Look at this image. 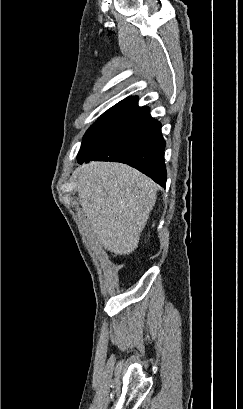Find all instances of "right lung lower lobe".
Wrapping results in <instances>:
<instances>
[{
  "mask_svg": "<svg viewBox=\"0 0 243 409\" xmlns=\"http://www.w3.org/2000/svg\"><path fill=\"white\" fill-rule=\"evenodd\" d=\"M165 145L161 123L150 116L148 107L138 106L137 97H132L123 101L117 111L82 142L77 164L125 163L165 187Z\"/></svg>",
  "mask_w": 243,
  "mask_h": 409,
  "instance_id": "1",
  "label": "right lung lower lobe"
}]
</instances>
